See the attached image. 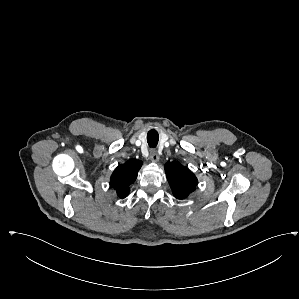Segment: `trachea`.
Returning a JSON list of instances; mask_svg holds the SVG:
<instances>
[{"label": "trachea", "instance_id": "obj_1", "mask_svg": "<svg viewBox=\"0 0 299 299\" xmlns=\"http://www.w3.org/2000/svg\"><path fill=\"white\" fill-rule=\"evenodd\" d=\"M159 136L156 130L152 129L147 134V142L150 147L155 148L158 144Z\"/></svg>", "mask_w": 299, "mask_h": 299}]
</instances>
